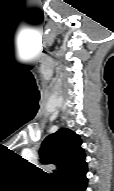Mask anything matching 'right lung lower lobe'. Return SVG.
Here are the masks:
<instances>
[{"label": "right lung lower lobe", "instance_id": "98d812e1", "mask_svg": "<svg viewBox=\"0 0 114 191\" xmlns=\"http://www.w3.org/2000/svg\"><path fill=\"white\" fill-rule=\"evenodd\" d=\"M87 168L76 172L59 182L60 191H85L87 187Z\"/></svg>", "mask_w": 114, "mask_h": 191}]
</instances>
